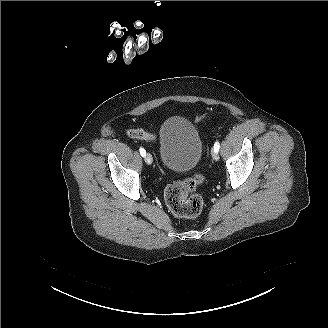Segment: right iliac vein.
Masks as SVG:
<instances>
[{
	"mask_svg": "<svg viewBox=\"0 0 328 328\" xmlns=\"http://www.w3.org/2000/svg\"><path fill=\"white\" fill-rule=\"evenodd\" d=\"M145 162L147 163V164H152V162H153V158H152V155L150 154V153H147L146 155H145Z\"/></svg>",
	"mask_w": 328,
	"mask_h": 328,
	"instance_id": "right-iliac-vein-1",
	"label": "right iliac vein"
}]
</instances>
